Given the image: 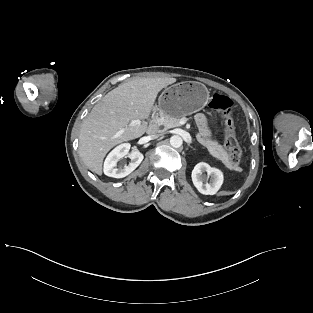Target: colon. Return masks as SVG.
I'll list each match as a JSON object with an SVG mask.
<instances>
[{"label":"colon","mask_w":313,"mask_h":313,"mask_svg":"<svg viewBox=\"0 0 313 313\" xmlns=\"http://www.w3.org/2000/svg\"><path fill=\"white\" fill-rule=\"evenodd\" d=\"M209 106L225 116V146L229 152L230 161L232 164L237 165L241 161L242 150L235 134V124L233 119L234 103L229 97L225 95L214 94L210 100Z\"/></svg>","instance_id":"1"}]
</instances>
